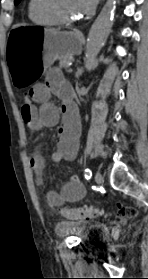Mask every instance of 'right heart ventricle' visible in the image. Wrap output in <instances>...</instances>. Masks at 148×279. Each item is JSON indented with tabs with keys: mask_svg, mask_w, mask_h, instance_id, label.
Returning a JSON list of instances; mask_svg holds the SVG:
<instances>
[{
	"mask_svg": "<svg viewBox=\"0 0 148 279\" xmlns=\"http://www.w3.org/2000/svg\"><path fill=\"white\" fill-rule=\"evenodd\" d=\"M39 0H29L28 15L30 20L39 26H54L57 22L41 10Z\"/></svg>",
	"mask_w": 148,
	"mask_h": 279,
	"instance_id": "right-heart-ventricle-1",
	"label": "right heart ventricle"
}]
</instances>
